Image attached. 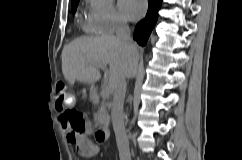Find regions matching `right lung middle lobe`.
Here are the masks:
<instances>
[{
  "instance_id": "1",
  "label": "right lung middle lobe",
  "mask_w": 242,
  "mask_h": 160,
  "mask_svg": "<svg viewBox=\"0 0 242 160\" xmlns=\"http://www.w3.org/2000/svg\"><path fill=\"white\" fill-rule=\"evenodd\" d=\"M78 3H79V0L72 1V11L73 12L76 10Z\"/></svg>"
}]
</instances>
